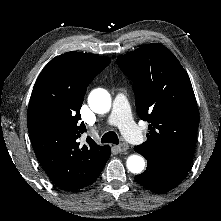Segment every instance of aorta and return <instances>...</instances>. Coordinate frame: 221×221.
Wrapping results in <instances>:
<instances>
[{
  "label": "aorta",
  "mask_w": 221,
  "mask_h": 221,
  "mask_svg": "<svg viewBox=\"0 0 221 221\" xmlns=\"http://www.w3.org/2000/svg\"><path fill=\"white\" fill-rule=\"evenodd\" d=\"M88 104L91 110L95 113H107L111 108L110 94L105 89H95L88 97ZM126 165L131 173L139 174L145 168V160L140 155H131L128 157Z\"/></svg>",
  "instance_id": "obj_1"
}]
</instances>
